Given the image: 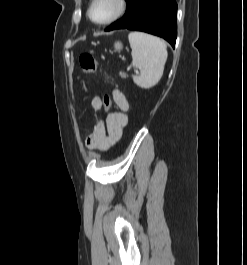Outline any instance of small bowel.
<instances>
[{
  "instance_id": "obj_1",
  "label": "small bowel",
  "mask_w": 247,
  "mask_h": 265,
  "mask_svg": "<svg viewBox=\"0 0 247 265\" xmlns=\"http://www.w3.org/2000/svg\"><path fill=\"white\" fill-rule=\"evenodd\" d=\"M112 96L118 110L109 114L106 122L100 120L96 124L94 131L86 140V146L89 149L107 150L121 138L123 129L128 123L129 103L127 98L119 90H114ZM90 107L95 112L100 111L104 108L103 98L100 96L93 97Z\"/></svg>"
}]
</instances>
